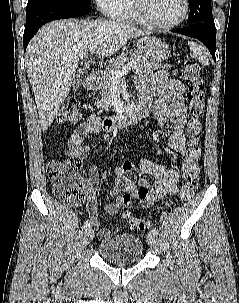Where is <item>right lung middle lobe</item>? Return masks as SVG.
<instances>
[{
	"mask_svg": "<svg viewBox=\"0 0 239 303\" xmlns=\"http://www.w3.org/2000/svg\"><path fill=\"white\" fill-rule=\"evenodd\" d=\"M91 0H28L27 10L47 5H90Z\"/></svg>",
	"mask_w": 239,
	"mask_h": 303,
	"instance_id": "dd1d6c3e",
	"label": "right lung middle lobe"
}]
</instances>
